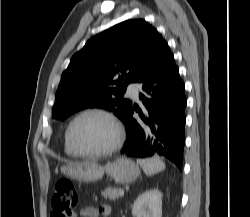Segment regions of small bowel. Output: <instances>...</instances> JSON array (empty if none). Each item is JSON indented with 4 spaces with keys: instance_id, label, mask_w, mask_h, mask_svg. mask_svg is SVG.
I'll return each instance as SVG.
<instances>
[{
    "instance_id": "c3829d8e",
    "label": "small bowel",
    "mask_w": 250,
    "mask_h": 217,
    "mask_svg": "<svg viewBox=\"0 0 250 217\" xmlns=\"http://www.w3.org/2000/svg\"><path fill=\"white\" fill-rule=\"evenodd\" d=\"M111 213V208L109 205L103 204L98 208L93 206L84 207L79 210L76 217H99V215L103 217L109 216Z\"/></svg>"
}]
</instances>
